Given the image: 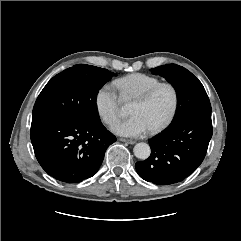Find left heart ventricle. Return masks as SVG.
Masks as SVG:
<instances>
[{
  "mask_svg": "<svg viewBox=\"0 0 241 241\" xmlns=\"http://www.w3.org/2000/svg\"><path fill=\"white\" fill-rule=\"evenodd\" d=\"M173 98L169 89H161L150 101L138 103L133 101L130 107L131 115H140L150 129L158 125L169 113Z\"/></svg>",
  "mask_w": 241,
  "mask_h": 241,
  "instance_id": "left-heart-ventricle-1",
  "label": "left heart ventricle"
}]
</instances>
